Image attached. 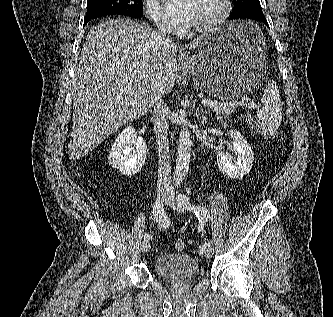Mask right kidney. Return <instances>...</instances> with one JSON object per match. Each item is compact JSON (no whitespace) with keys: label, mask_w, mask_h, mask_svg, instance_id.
I'll return each mask as SVG.
<instances>
[{"label":"right kidney","mask_w":333,"mask_h":317,"mask_svg":"<svg viewBox=\"0 0 333 317\" xmlns=\"http://www.w3.org/2000/svg\"><path fill=\"white\" fill-rule=\"evenodd\" d=\"M147 146L143 138L135 134L133 126H127L115 139L108 155L109 164L122 175L133 176L143 167Z\"/></svg>","instance_id":"obj_1"}]
</instances>
